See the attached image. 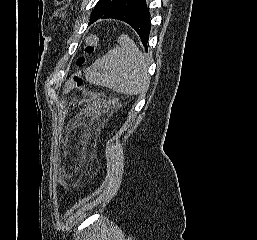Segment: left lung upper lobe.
<instances>
[{
	"label": "left lung upper lobe",
	"instance_id": "obj_1",
	"mask_svg": "<svg viewBox=\"0 0 257 240\" xmlns=\"http://www.w3.org/2000/svg\"><path fill=\"white\" fill-rule=\"evenodd\" d=\"M120 0H99L91 13V22H95L103 16V14L111 7L116 5Z\"/></svg>",
	"mask_w": 257,
	"mask_h": 240
}]
</instances>
